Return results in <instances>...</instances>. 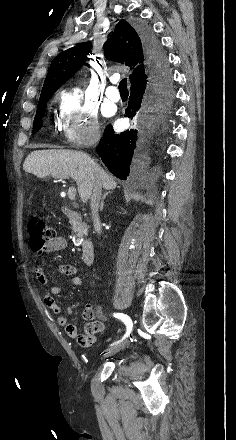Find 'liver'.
I'll list each match as a JSON object with an SVG mask.
<instances>
[{"label": "liver", "instance_id": "1", "mask_svg": "<svg viewBox=\"0 0 236 440\" xmlns=\"http://www.w3.org/2000/svg\"><path fill=\"white\" fill-rule=\"evenodd\" d=\"M23 169L38 178H68L76 181L78 193L86 203L94 184L99 181L105 190H113L117 183L89 155L71 150H37L31 152L24 161Z\"/></svg>", "mask_w": 236, "mask_h": 440}]
</instances>
